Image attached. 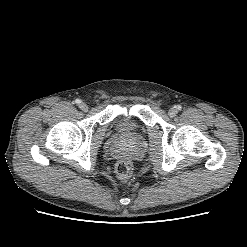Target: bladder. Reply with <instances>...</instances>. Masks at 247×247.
<instances>
[{
    "label": "bladder",
    "instance_id": "1",
    "mask_svg": "<svg viewBox=\"0 0 247 247\" xmlns=\"http://www.w3.org/2000/svg\"><path fill=\"white\" fill-rule=\"evenodd\" d=\"M115 125L117 130L125 134L134 133L138 129V126L134 120L124 117L117 119Z\"/></svg>",
    "mask_w": 247,
    "mask_h": 247
}]
</instances>
